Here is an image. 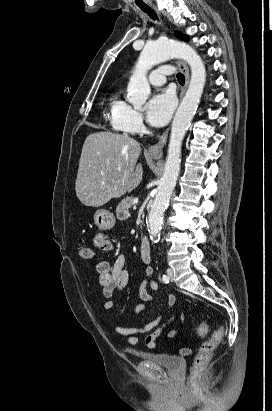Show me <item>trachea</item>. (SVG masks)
<instances>
[{
    "instance_id": "3493384b",
    "label": "trachea",
    "mask_w": 272,
    "mask_h": 411,
    "mask_svg": "<svg viewBox=\"0 0 272 411\" xmlns=\"http://www.w3.org/2000/svg\"><path fill=\"white\" fill-rule=\"evenodd\" d=\"M141 10L143 12H145L146 14L149 15L150 18H152L153 20H157L158 17L155 14V12L148 6H140ZM177 80L180 84H184L185 83V77L182 73H178L177 74Z\"/></svg>"
}]
</instances>
